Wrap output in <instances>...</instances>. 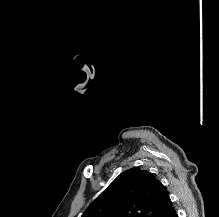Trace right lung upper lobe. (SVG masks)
<instances>
[{
    "label": "right lung upper lobe",
    "instance_id": "right-lung-upper-lobe-1",
    "mask_svg": "<svg viewBox=\"0 0 219 217\" xmlns=\"http://www.w3.org/2000/svg\"><path fill=\"white\" fill-rule=\"evenodd\" d=\"M172 208L166 187L135 167L121 173L81 217H166Z\"/></svg>",
    "mask_w": 219,
    "mask_h": 217
}]
</instances>
